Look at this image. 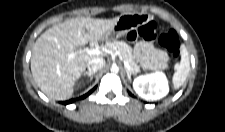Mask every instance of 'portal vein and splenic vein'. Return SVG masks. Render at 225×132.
I'll use <instances>...</instances> for the list:
<instances>
[{
	"instance_id": "portal-vein-and-splenic-vein-1",
	"label": "portal vein and splenic vein",
	"mask_w": 225,
	"mask_h": 132,
	"mask_svg": "<svg viewBox=\"0 0 225 132\" xmlns=\"http://www.w3.org/2000/svg\"><path fill=\"white\" fill-rule=\"evenodd\" d=\"M85 53L88 54V55H100V54H103V51L100 50V49H97V48H93V49L86 50ZM122 61H123L126 69L132 70L131 66L129 65V63L127 61H125L123 59H122Z\"/></svg>"
}]
</instances>
